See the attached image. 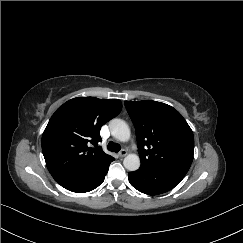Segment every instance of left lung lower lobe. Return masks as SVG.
Masks as SVG:
<instances>
[{
  "label": "left lung lower lobe",
  "instance_id": "0a47b994",
  "mask_svg": "<svg viewBox=\"0 0 243 243\" xmlns=\"http://www.w3.org/2000/svg\"><path fill=\"white\" fill-rule=\"evenodd\" d=\"M190 165L170 164L139 169L128 174L130 184L148 195H158L173 189L184 178Z\"/></svg>",
  "mask_w": 243,
  "mask_h": 243
}]
</instances>
